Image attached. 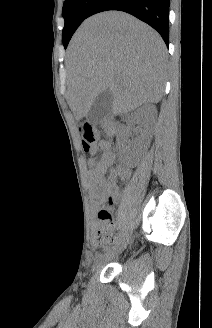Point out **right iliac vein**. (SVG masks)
<instances>
[{
	"instance_id": "obj_1",
	"label": "right iliac vein",
	"mask_w": 212,
	"mask_h": 328,
	"mask_svg": "<svg viewBox=\"0 0 212 328\" xmlns=\"http://www.w3.org/2000/svg\"><path fill=\"white\" fill-rule=\"evenodd\" d=\"M126 246H127V238H123L111 250L107 251L103 255L98 256L92 266L91 272L96 271L103 265V263L105 261H107V260L115 257L116 255H118L119 253H121L126 248Z\"/></svg>"
}]
</instances>
